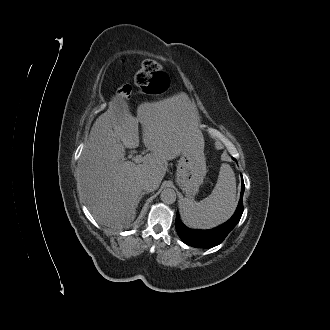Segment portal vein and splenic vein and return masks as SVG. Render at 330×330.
I'll use <instances>...</instances> for the list:
<instances>
[{
	"label": "portal vein and splenic vein",
	"instance_id": "portal-vein-and-splenic-vein-1",
	"mask_svg": "<svg viewBox=\"0 0 330 330\" xmlns=\"http://www.w3.org/2000/svg\"><path fill=\"white\" fill-rule=\"evenodd\" d=\"M133 161H134L135 163H141V162L143 161V156H142V154H139V155L134 156V157H133Z\"/></svg>",
	"mask_w": 330,
	"mask_h": 330
}]
</instances>
